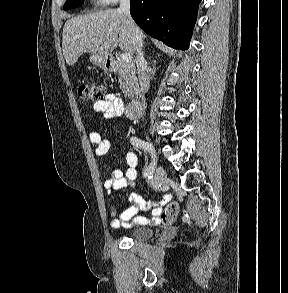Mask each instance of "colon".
Segmentation results:
<instances>
[{"instance_id":"colon-1","label":"colon","mask_w":288,"mask_h":293,"mask_svg":"<svg viewBox=\"0 0 288 293\" xmlns=\"http://www.w3.org/2000/svg\"><path fill=\"white\" fill-rule=\"evenodd\" d=\"M106 93V85L101 82H87L82 83L78 87L79 96L87 101L99 102ZM179 212L177 203L168 204L159 215V222L168 225L174 222Z\"/></svg>"}]
</instances>
